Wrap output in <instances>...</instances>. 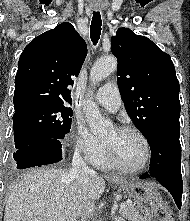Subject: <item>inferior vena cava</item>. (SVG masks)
<instances>
[{
    "instance_id": "602c4592",
    "label": "inferior vena cava",
    "mask_w": 190,
    "mask_h": 221,
    "mask_svg": "<svg viewBox=\"0 0 190 221\" xmlns=\"http://www.w3.org/2000/svg\"><path fill=\"white\" fill-rule=\"evenodd\" d=\"M95 172L87 166V164L83 161L80 155V149L76 148L73 160H72V169L70 171V176L75 178L80 184H85V182L89 179V177ZM94 213V205L87 202L84 211V217L82 221H86L87 218L93 217ZM89 221V220H88Z\"/></svg>"
}]
</instances>
